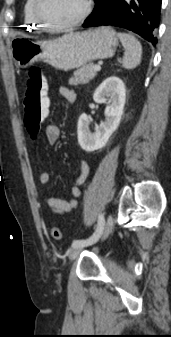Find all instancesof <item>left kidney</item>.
Here are the masks:
<instances>
[{
	"label": "left kidney",
	"instance_id": "left-kidney-1",
	"mask_svg": "<svg viewBox=\"0 0 171 337\" xmlns=\"http://www.w3.org/2000/svg\"><path fill=\"white\" fill-rule=\"evenodd\" d=\"M93 99L97 103L109 101L105 109V121L91 133L89 125L91 118L83 113L78 120L77 134L78 142L81 148L87 152L103 148L108 142L110 136L118 128L125 105V85L123 81L116 76L105 79L96 89Z\"/></svg>",
	"mask_w": 171,
	"mask_h": 337
}]
</instances>
